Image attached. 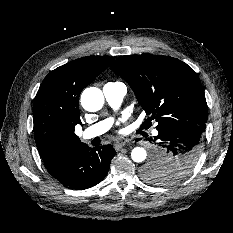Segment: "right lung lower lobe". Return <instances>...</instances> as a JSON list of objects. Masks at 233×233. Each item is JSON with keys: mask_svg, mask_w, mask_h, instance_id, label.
<instances>
[{"mask_svg": "<svg viewBox=\"0 0 233 233\" xmlns=\"http://www.w3.org/2000/svg\"><path fill=\"white\" fill-rule=\"evenodd\" d=\"M115 154L111 145L91 148L83 143L57 153L44 164L64 187L84 190L105 178Z\"/></svg>", "mask_w": 233, "mask_h": 233, "instance_id": "1", "label": "right lung lower lobe"}]
</instances>
